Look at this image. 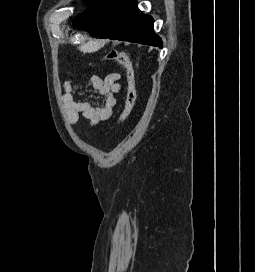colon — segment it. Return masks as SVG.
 I'll use <instances>...</instances> for the list:
<instances>
[{"mask_svg": "<svg viewBox=\"0 0 255 272\" xmlns=\"http://www.w3.org/2000/svg\"><path fill=\"white\" fill-rule=\"evenodd\" d=\"M106 59L123 67L126 73V98L124 109L120 118L123 123L131 114L136 100L135 72L129 56L122 51L112 50L106 55Z\"/></svg>", "mask_w": 255, "mask_h": 272, "instance_id": "obj_1", "label": "colon"}]
</instances>
